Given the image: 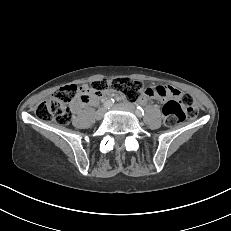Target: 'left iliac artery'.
<instances>
[{
  "mask_svg": "<svg viewBox=\"0 0 231 231\" xmlns=\"http://www.w3.org/2000/svg\"><path fill=\"white\" fill-rule=\"evenodd\" d=\"M136 114H137L139 117H142V116H144V110H143L140 106H137Z\"/></svg>",
  "mask_w": 231,
  "mask_h": 231,
  "instance_id": "obj_1",
  "label": "left iliac artery"
}]
</instances>
